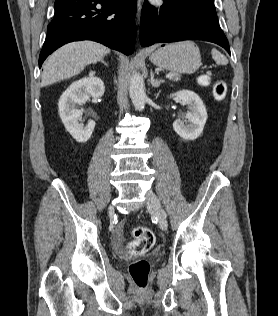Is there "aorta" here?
I'll return each instance as SVG.
<instances>
[{
  "label": "aorta",
  "instance_id": "1",
  "mask_svg": "<svg viewBox=\"0 0 278 316\" xmlns=\"http://www.w3.org/2000/svg\"><path fill=\"white\" fill-rule=\"evenodd\" d=\"M129 94L136 110L145 108L147 96L145 92L144 80L140 73L135 72L130 78Z\"/></svg>",
  "mask_w": 278,
  "mask_h": 316
}]
</instances>
